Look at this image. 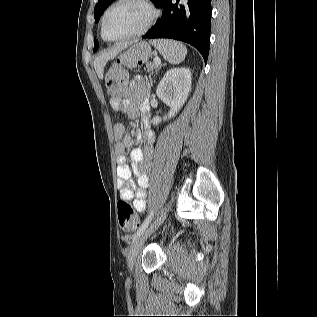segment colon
Here are the masks:
<instances>
[{
  "mask_svg": "<svg viewBox=\"0 0 317 317\" xmlns=\"http://www.w3.org/2000/svg\"><path fill=\"white\" fill-rule=\"evenodd\" d=\"M106 87L109 94L117 96L125 92L128 82V72L123 61L113 63L106 73ZM120 227L125 231H134L139 224L132 205L127 200H120L117 204Z\"/></svg>",
  "mask_w": 317,
  "mask_h": 317,
  "instance_id": "colon-1",
  "label": "colon"
}]
</instances>
